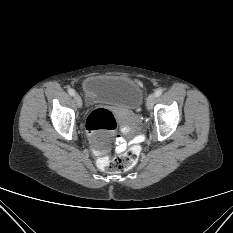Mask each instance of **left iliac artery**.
Here are the masks:
<instances>
[{
  "mask_svg": "<svg viewBox=\"0 0 233 233\" xmlns=\"http://www.w3.org/2000/svg\"><path fill=\"white\" fill-rule=\"evenodd\" d=\"M163 93V90L161 88L157 89L155 92V96L159 97Z\"/></svg>",
  "mask_w": 233,
  "mask_h": 233,
  "instance_id": "left-iliac-artery-1",
  "label": "left iliac artery"
}]
</instances>
